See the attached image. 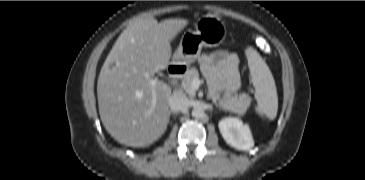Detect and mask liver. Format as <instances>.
I'll use <instances>...</instances> for the list:
<instances>
[{
	"mask_svg": "<svg viewBox=\"0 0 365 180\" xmlns=\"http://www.w3.org/2000/svg\"><path fill=\"white\" fill-rule=\"evenodd\" d=\"M185 19L158 23L153 17L136 18L120 34L108 54L97 83L101 121L119 143L145 147L158 140L169 123L171 88L150 79L170 64L171 42L188 25Z\"/></svg>",
	"mask_w": 365,
	"mask_h": 180,
	"instance_id": "6515ba94",
	"label": "liver"
}]
</instances>
